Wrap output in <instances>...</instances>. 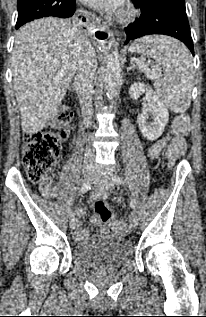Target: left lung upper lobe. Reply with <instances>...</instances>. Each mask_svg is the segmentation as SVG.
<instances>
[{"label":"left lung upper lobe","instance_id":"obj_1","mask_svg":"<svg viewBox=\"0 0 206 317\" xmlns=\"http://www.w3.org/2000/svg\"><path fill=\"white\" fill-rule=\"evenodd\" d=\"M136 7L148 5H168L185 9V0H132Z\"/></svg>","mask_w":206,"mask_h":317}]
</instances>
